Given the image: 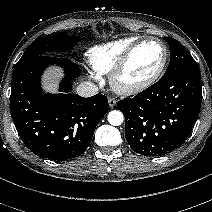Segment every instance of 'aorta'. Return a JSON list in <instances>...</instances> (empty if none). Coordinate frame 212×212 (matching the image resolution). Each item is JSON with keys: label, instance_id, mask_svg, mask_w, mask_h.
<instances>
[{"label": "aorta", "instance_id": "aorta-1", "mask_svg": "<svg viewBox=\"0 0 212 212\" xmlns=\"http://www.w3.org/2000/svg\"><path fill=\"white\" fill-rule=\"evenodd\" d=\"M108 122L113 126H119L124 121V115L119 110H112L108 113L107 116Z\"/></svg>", "mask_w": 212, "mask_h": 212}]
</instances>
